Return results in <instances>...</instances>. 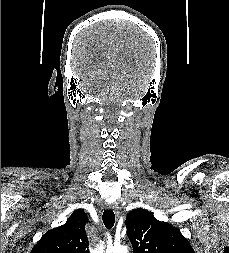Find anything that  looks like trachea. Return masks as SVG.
Returning a JSON list of instances; mask_svg holds the SVG:
<instances>
[{"instance_id":"3493384b","label":"trachea","mask_w":229,"mask_h":253,"mask_svg":"<svg viewBox=\"0 0 229 253\" xmlns=\"http://www.w3.org/2000/svg\"><path fill=\"white\" fill-rule=\"evenodd\" d=\"M103 223L107 229H111L115 223V215L112 209H106L103 212Z\"/></svg>"}]
</instances>
